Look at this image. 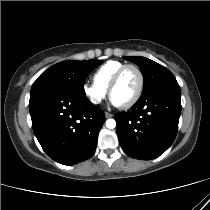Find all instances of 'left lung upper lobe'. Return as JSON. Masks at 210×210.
Returning a JSON list of instances; mask_svg holds the SVG:
<instances>
[{
    "instance_id": "left-lung-upper-lobe-1",
    "label": "left lung upper lobe",
    "mask_w": 210,
    "mask_h": 210,
    "mask_svg": "<svg viewBox=\"0 0 210 210\" xmlns=\"http://www.w3.org/2000/svg\"><path fill=\"white\" fill-rule=\"evenodd\" d=\"M124 58L136 63L140 67L144 78L142 94L160 84L176 81L175 77L168 69L150 59L141 56H125Z\"/></svg>"
}]
</instances>
